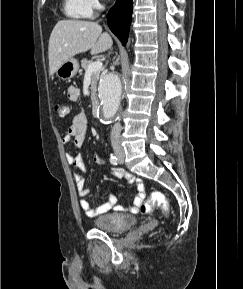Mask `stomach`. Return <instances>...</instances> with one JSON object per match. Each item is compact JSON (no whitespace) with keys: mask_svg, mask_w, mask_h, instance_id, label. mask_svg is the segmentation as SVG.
<instances>
[{"mask_svg":"<svg viewBox=\"0 0 243 289\" xmlns=\"http://www.w3.org/2000/svg\"><path fill=\"white\" fill-rule=\"evenodd\" d=\"M79 70V63L77 59L70 58L65 61L56 71L59 78L63 80L70 79L76 75Z\"/></svg>","mask_w":243,"mask_h":289,"instance_id":"1","label":"stomach"}]
</instances>
